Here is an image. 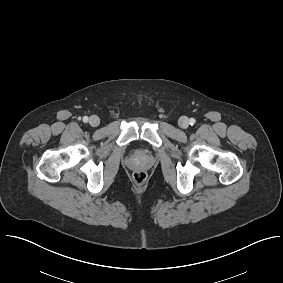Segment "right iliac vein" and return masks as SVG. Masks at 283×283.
<instances>
[{
    "label": "right iliac vein",
    "instance_id": "obj_1",
    "mask_svg": "<svg viewBox=\"0 0 283 283\" xmlns=\"http://www.w3.org/2000/svg\"><path fill=\"white\" fill-rule=\"evenodd\" d=\"M89 124L92 126V127H97L99 124H100V119L98 116L96 115H93L89 118Z\"/></svg>",
    "mask_w": 283,
    "mask_h": 283
}]
</instances>
